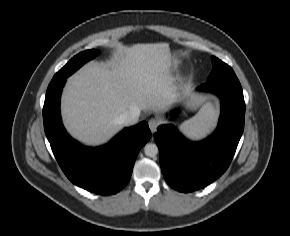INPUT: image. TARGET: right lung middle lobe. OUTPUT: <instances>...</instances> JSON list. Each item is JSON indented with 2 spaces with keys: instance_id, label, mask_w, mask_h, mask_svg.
Returning a JSON list of instances; mask_svg holds the SVG:
<instances>
[{
  "instance_id": "dd1d6c3e",
  "label": "right lung middle lobe",
  "mask_w": 290,
  "mask_h": 236,
  "mask_svg": "<svg viewBox=\"0 0 290 236\" xmlns=\"http://www.w3.org/2000/svg\"><path fill=\"white\" fill-rule=\"evenodd\" d=\"M99 54L96 50H86L74 56L61 70H59L53 78L68 77L80 68L85 62L93 59Z\"/></svg>"
}]
</instances>
